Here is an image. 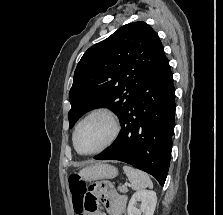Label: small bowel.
<instances>
[{
    "label": "small bowel",
    "mask_w": 223,
    "mask_h": 215,
    "mask_svg": "<svg viewBox=\"0 0 223 215\" xmlns=\"http://www.w3.org/2000/svg\"><path fill=\"white\" fill-rule=\"evenodd\" d=\"M85 202L95 207L87 215H102L98 210V202L103 203L111 215H123L127 199L117 193L109 182L101 181L90 186Z\"/></svg>",
    "instance_id": "obj_1"
}]
</instances>
